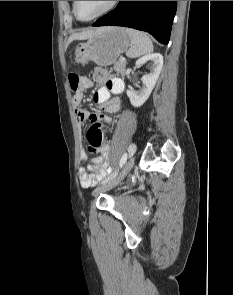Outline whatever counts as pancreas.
<instances>
[{
	"instance_id": "cf45deb5",
	"label": "pancreas",
	"mask_w": 233,
	"mask_h": 295,
	"mask_svg": "<svg viewBox=\"0 0 233 295\" xmlns=\"http://www.w3.org/2000/svg\"><path fill=\"white\" fill-rule=\"evenodd\" d=\"M114 71L116 72L117 75H121L123 76L124 73H125V68H126V61H117L115 64H114Z\"/></svg>"
}]
</instances>
